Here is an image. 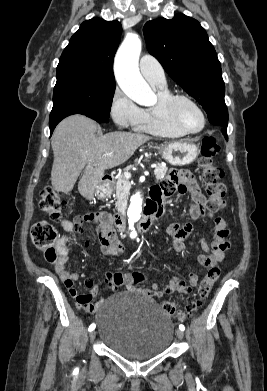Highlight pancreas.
<instances>
[{
    "label": "pancreas",
    "mask_w": 267,
    "mask_h": 391,
    "mask_svg": "<svg viewBox=\"0 0 267 391\" xmlns=\"http://www.w3.org/2000/svg\"><path fill=\"white\" fill-rule=\"evenodd\" d=\"M168 168L166 166H162L161 164H157L155 168L154 174L158 180H161L165 177ZM111 186L116 191V197L119 199L121 196L126 194L125 187L129 186V179L123 175L119 176L117 180H113L111 182Z\"/></svg>",
    "instance_id": "obj_1"
}]
</instances>
